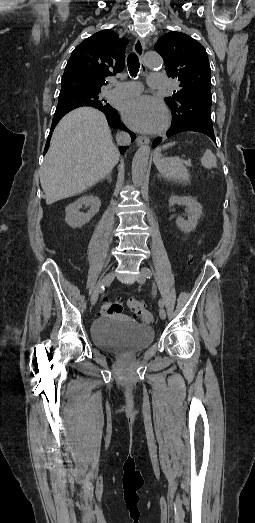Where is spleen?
<instances>
[{"label":"spleen","mask_w":255,"mask_h":523,"mask_svg":"<svg viewBox=\"0 0 255 523\" xmlns=\"http://www.w3.org/2000/svg\"><path fill=\"white\" fill-rule=\"evenodd\" d=\"M171 146H174V142L173 144H166V146H162V148H156L155 156L153 158L154 164L158 172H160L161 176H164V178L186 182V180H189V174L181 158H177V156L176 158H161V150L171 148ZM201 164L203 168H208V170H210V168H216V156L212 154L211 150H205L201 158Z\"/></svg>","instance_id":"obj_1"}]
</instances>
